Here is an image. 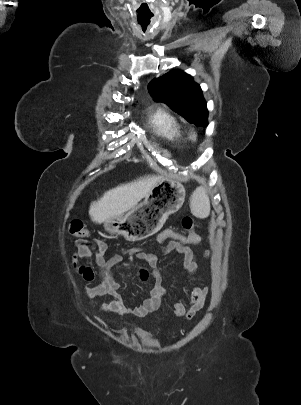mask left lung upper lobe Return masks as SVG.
<instances>
[{
    "label": "left lung upper lobe",
    "instance_id": "1",
    "mask_svg": "<svg viewBox=\"0 0 301 405\" xmlns=\"http://www.w3.org/2000/svg\"><path fill=\"white\" fill-rule=\"evenodd\" d=\"M149 91L156 101L197 126H207L208 110L200 86L183 71L173 70L150 82Z\"/></svg>",
    "mask_w": 301,
    "mask_h": 405
}]
</instances>
